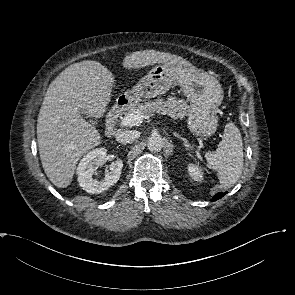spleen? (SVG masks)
<instances>
[{
    "label": "spleen",
    "instance_id": "obj_1",
    "mask_svg": "<svg viewBox=\"0 0 295 295\" xmlns=\"http://www.w3.org/2000/svg\"><path fill=\"white\" fill-rule=\"evenodd\" d=\"M208 168L218 172L222 188L233 186L243 169V142L237 126L230 122L225 125L224 134L216 151L205 154Z\"/></svg>",
    "mask_w": 295,
    "mask_h": 295
}]
</instances>
